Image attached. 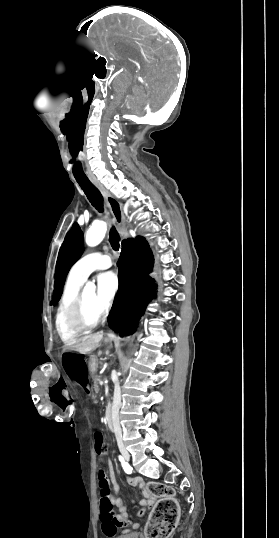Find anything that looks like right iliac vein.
I'll use <instances>...</instances> for the list:
<instances>
[{
  "instance_id": "right-iliac-vein-1",
  "label": "right iliac vein",
  "mask_w": 279,
  "mask_h": 538,
  "mask_svg": "<svg viewBox=\"0 0 279 538\" xmlns=\"http://www.w3.org/2000/svg\"><path fill=\"white\" fill-rule=\"evenodd\" d=\"M124 457H125L126 459H129V455H128L127 453L124 454Z\"/></svg>"
}]
</instances>
